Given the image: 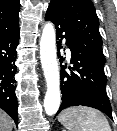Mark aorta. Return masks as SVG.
<instances>
[{"label": "aorta", "mask_w": 117, "mask_h": 131, "mask_svg": "<svg viewBox=\"0 0 117 131\" xmlns=\"http://www.w3.org/2000/svg\"><path fill=\"white\" fill-rule=\"evenodd\" d=\"M40 58L47 91L44 98V109L47 115H54L61 103L60 74L56 55L55 28L47 22L40 39Z\"/></svg>", "instance_id": "762f6f07"}]
</instances>
